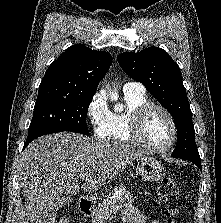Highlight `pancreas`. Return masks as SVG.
<instances>
[{
  "label": "pancreas",
  "instance_id": "1",
  "mask_svg": "<svg viewBox=\"0 0 221 223\" xmlns=\"http://www.w3.org/2000/svg\"><path fill=\"white\" fill-rule=\"evenodd\" d=\"M120 190V196L118 198L112 199V193L105 197L103 201L98 205V207L92 213V223H106V221L111 217V215L119 209H123L132 206L134 197L124 186L116 188V191Z\"/></svg>",
  "mask_w": 221,
  "mask_h": 223
}]
</instances>
